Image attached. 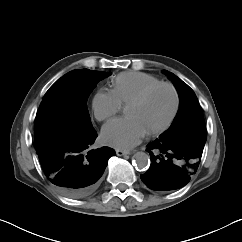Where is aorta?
Returning a JSON list of instances; mask_svg holds the SVG:
<instances>
[{
    "label": "aorta",
    "mask_w": 242,
    "mask_h": 242,
    "mask_svg": "<svg viewBox=\"0 0 242 242\" xmlns=\"http://www.w3.org/2000/svg\"><path fill=\"white\" fill-rule=\"evenodd\" d=\"M133 162L137 168L144 170L148 168L150 164V158L149 155L145 152H136L133 155Z\"/></svg>",
    "instance_id": "762f6f07"
}]
</instances>
